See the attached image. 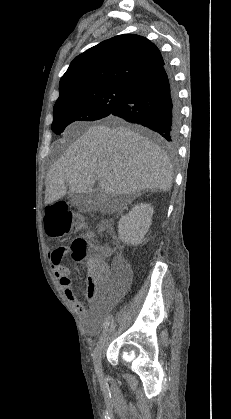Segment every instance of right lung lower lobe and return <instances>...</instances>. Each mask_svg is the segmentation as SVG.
<instances>
[{"instance_id":"1","label":"right lung lower lobe","mask_w":231,"mask_h":419,"mask_svg":"<svg viewBox=\"0 0 231 419\" xmlns=\"http://www.w3.org/2000/svg\"><path fill=\"white\" fill-rule=\"evenodd\" d=\"M110 115L147 126L158 132L168 144H175L180 106L168 66L164 63L136 81L124 101Z\"/></svg>"}]
</instances>
